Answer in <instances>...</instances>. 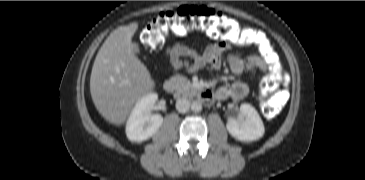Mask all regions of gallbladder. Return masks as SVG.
Listing matches in <instances>:
<instances>
[{"label":"gallbladder","instance_id":"obj_1","mask_svg":"<svg viewBox=\"0 0 365 180\" xmlns=\"http://www.w3.org/2000/svg\"><path fill=\"white\" fill-rule=\"evenodd\" d=\"M131 48L134 53H136V54L140 53L139 45L136 42L131 43Z\"/></svg>","mask_w":365,"mask_h":180}]
</instances>
